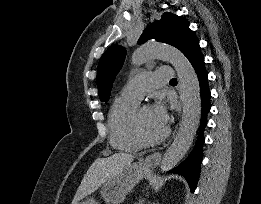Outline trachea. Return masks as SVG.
Segmentation results:
<instances>
[{
    "instance_id": "obj_1",
    "label": "trachea",
    "mask_w": 261,
    "mask_h": 204,
    "mask_svg": "<svg viewBox=\"0 0 261 204\" xmlns=\"http://www.w3.org/2000/svg\"><path fill=\"white\" fill-rule=\"evenodd\" d=\"M170 81H171V82H175V81H177V80H176V78H172Z\"/></svg>"
}]
</instances>
